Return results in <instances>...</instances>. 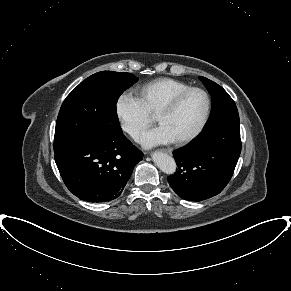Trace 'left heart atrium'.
Listing matches in <instances>:
<instances>
[{"mask_svg":"<svg viewBox=\"0 0 291 291\" xmlns=\"http://www.w3.org/2000/svg\"><path fill=\"white\" fill-rule=\"evenodd\" d=\"M171 142H174L173 138L161 125L148 131L141 138V143L144 147H152L159 144H168Z\"/></svg>","mask_w":291,"mask_h":291,"instance_id":"39dd6f15","label":"left heart atrium"}]
</instances>
